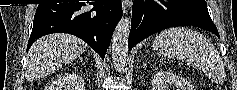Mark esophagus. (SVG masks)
<instances>
[{
    "label": "esophagus",
    "mask_w": 237,
    "mask_h": 90,
    "mask_svg": "<svg viewBox=\"0 0 237 90\" xmlns=\"http://www.w3.org/2000/svg\"><path fill=\"white\" fill-rule=\"evenodd\" d=\"M132 5V0H122V9L123 12H127V10L131 7Z\"/></svg>",
    "instance_id": "1"
}]
</instances>
